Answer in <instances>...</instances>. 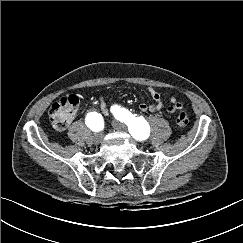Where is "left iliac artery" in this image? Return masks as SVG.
Segmentation results:
<instances>
[{
    "instance_id": "44dca946",
    "label": "left iliac artery",
    "mask_w": 243,
    "mask_h": 243,
    "mask_svg": "<svg viewBox=\"0 0 243 243\" xmlns=\"http://www.w3.org/2000/svg\"><path fill=\"white\" fill-rule=\"evenodd\" d=\"M111 112L115 118L128 125L129 132L137 140H144L149 135V126L143 117H136L125 108L114 105L111 107Z\"/></svg>"
}]
</instances>
